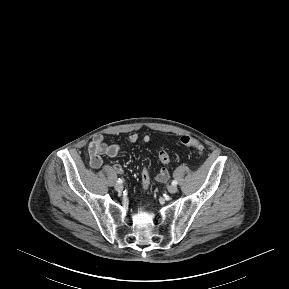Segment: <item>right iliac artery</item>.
Returning <instances> with one entry per match:
<instances>
[{
  "instance_id": "right-iliac-artery-1",
  "label": "right iliac artery",
  "mask_w": 289,
  "mask_h": 289,
  "mask_svg": "<svg viewBox=\"0 0 289 289\" xmlns=\"http://www.w3.org/2000/svg\"><path fill=\"white\" fill-rule=\"evenodd\" d=\"M122 182H123V180L120 178L117 180V183H119V184H121Z\"/></svg>"
}]
</instances>
